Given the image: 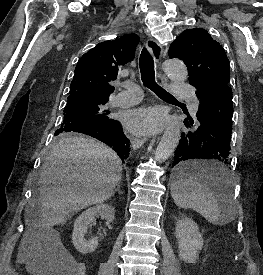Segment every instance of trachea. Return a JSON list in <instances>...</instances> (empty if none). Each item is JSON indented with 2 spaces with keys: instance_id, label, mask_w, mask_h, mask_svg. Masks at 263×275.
I'll return each mask as SVG.
<instances>
[{
  "instance_id": "trachea-1",
  "label": "trachea",
  "mask_w": 263,
  "mask_h": 275,
  "mask_svg": "<svg viewBox=\"0 0 263 275\" xmlns=\"http://www.w3.org/2000/svg\"><path fill=\"white\" fill-rule=\"evenodd\" d=\"M139 66L143 85L153 91L159 98L175 99L155 81L154 61L152 55L144 48L139 58Z\"/></svg>"
}]
</instances>
